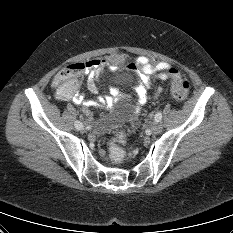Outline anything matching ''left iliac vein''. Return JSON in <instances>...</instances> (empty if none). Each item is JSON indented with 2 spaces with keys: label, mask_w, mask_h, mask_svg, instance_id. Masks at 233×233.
Segmentation results:
<instances>
[{
  "label": "left iliac vein",
  "mask_w": 233,
  "mask_h": 233,
  "mask_svg": "<svg viewBox=\"0 0 233 233\" xmlns=\"http://www.w3.org/2000/svg\"><path fill=\"white\" fill-rule=\"evenodd\" d=\"M151 131L153 134H159L162 131V124L160 122H153L151 125Z\"/></svg>",
  "instance_id": "obj_1"
}]
</instances>
